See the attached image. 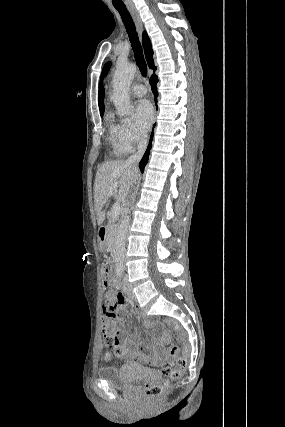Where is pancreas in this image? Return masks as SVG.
I'll return each mask as SVG.
<instances>
[{"label":"pancreas","mask_w":285,"mask_h":427,"mask_svg":"<svg viewBox=\"0 0 285 427\" xmlns=\"http://www.w3.org/2000/svg\"><path fill=\"white\" fill-rule=\"evenodd\" d=\"M117 231V224L115 223V218L111 215L110 222L108 225V240L112 242L114 240V235Z\"/></svg>","instance_id":"obj_1"}]
</instances>
